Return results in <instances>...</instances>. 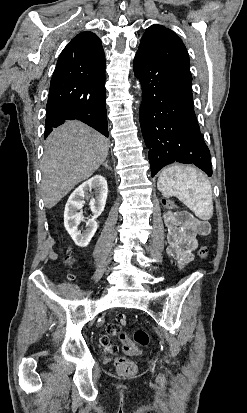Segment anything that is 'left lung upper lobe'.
<instances>
[{
	"mask_svg": "<svg viewBox=\"0 0 247 413\" xmlns=\"http://www.w3.org/2000/svg\"><path fill=\"white\" fill-rule=\"evenodd\" d=\"M138 51L147 53L155 60L192 79L186 47L170 29L161 25H152L147 28Z\"/></svg>",
	"mask_w": 247,
	"mask_h": 413,
	"instance_id": "1",
	"label": "left lung upper lobe"
}]
</instances>
